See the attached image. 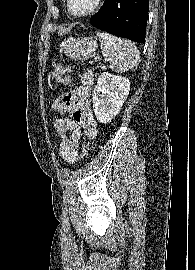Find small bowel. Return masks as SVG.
<instances>
[{
  "label": "small bowel",
  "instance_id": "obj_1",
  "mask_svg": "<svg viewBox=\"0 0 195 270\" xmlns=\"http://www.w3.org/2000/svg\"><path fill=\"white\" fill-rule=\"evenodd\" d=\"M93 83L92 73L83 74L80 86L74 90L75 98L72 105L57 111L61 115L70 113L72 118H56L53 121V127L60 137L59 154L68 163H73L78 158L82 131L90 138L97 135V122L89 107Z\"/></svg>",
  "mask_w": 195,
  "mask_h": 270
}]
</instances>
